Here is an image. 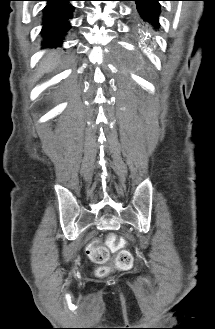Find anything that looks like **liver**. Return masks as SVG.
I'll return each mask as SVG.
<instances>
[{
    "instance_id": "6515ba94",
    "label": "liver",
    "mask_w": 215,
    "mask_h": 329,
    "mask_svg": "<svg viewBox=\"0 0 215 329\" xmlns=\"http://www.w3.org/2000/svg\"><path fill=\"white\" fill-rule=\"evenodd\" d=\"M54 53H50L49 55L46 56V58L43 59V61L41 62L38 72L39 75L37 77H39L41 74L45 73V72H49L51 71L55 66H56V58H54Z\"/></svg>"
}]
</instances>
